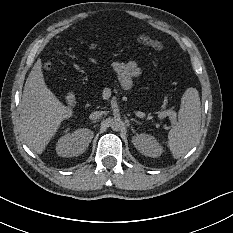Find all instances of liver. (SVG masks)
Returning a JSON list of instances; mask_svg holds the SVG:
<instances>
[{
  "label": "liver",
  "instance_id": "6515ba94",
  "mask_svg": "<svg viewBox=\"0 0 233 233\" xmlns=\"http://www.w3.org/2000/svg\"><path fill=\"white\" fill-rule=\"evenodd\" d=\"M71 111L46 87L38 59L27 77L20 107V126L28 146L37 153L42 152L45 143L64 116Z\"/></svg>",
  "mask_w": 233,
  "mask_h": 233
}]
</instances>
